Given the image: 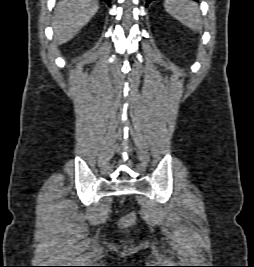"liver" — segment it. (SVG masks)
Returning a JSON list of instances; mask_svg holds the SVG:
<instances>
[{
	"instance_id": "obj_1",
	"label": "liver",
	"mask_w": 254,
	"mask_h": 267,
	"mask_svg": "<svg viewBox=\"0 0 254 267\" xmlns=\"http://www.w3.org/2000/svg\"><path fill=\"white\" fill-rule=\"evenodd\" d=\"M96 0H62L55 9L54 41L61 45L71 40L97 13Z\"/></svg>"
}]
</instances>
